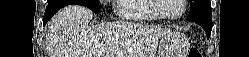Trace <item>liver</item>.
<instances>
[{"mask_svg":"<svg viewBox=\"0 0 249 57\" xmlns=\"http://www.w3.org/2000/svg\"><path fill=\"white\" fill-rule=\"evenodd\" d=\"M93 12L68 5L47 23L49 57H155L158 41L169 31L131 22L89 26Z\"/></svg>","mask_w":249,"mask_h":57,"instance_id":"6515ba94","label":"liver"}]
</instances>
